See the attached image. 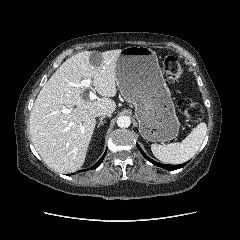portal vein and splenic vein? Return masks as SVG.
I'll list each match as a JSON object with an SVG mask.
<instances>
[{
    "label": "portal vein and splenic vein",
    "instance_id": "obj_1",
    "mask_svg": "<svg viewBox=\"0 0 240 240\" xmlns=\"http://www.w3.org/2000/svg\"><path fill=\"white\" fill-rule=\"evenodd\" d=\"M75 87L87 88L89 89V98L90 100H94L97 98L96 94L92 91V81L91 79H84L79 84H73Z\"/></svg>",
    "mask_w": 240,
    "mask_h": 240
}]
</instances>
